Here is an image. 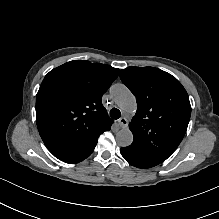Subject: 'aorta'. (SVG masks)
<instances>
[{
	"instance_id": "1",
	"label": "aorta",
	"mask_w": 219,
	"mask_h": 219,
	"mask_svg": "<svg viewBox=\"0 0 219 219\" xmlns=\"http://www.w3.org/2000/svg\"><path fill=\"white\" fill-rule=\"evenodd\" d=\"M116 104L124 111L134 112L137 109L136 99L129 89L123 84H114L110 88ZM133 141V134L129 128H123L116 134V142L119 146L127 147Z\"/></svg>"
}]
</instances>
